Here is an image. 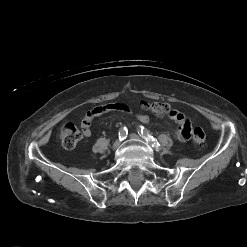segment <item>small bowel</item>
<instances>
[{
    "instance_id": "small-bowel-1",
    "label": "small bowel",
    "mask_w": 247,
    "mask_h": 247,
    "mask_svg": "<svg viewBox=\"0 0 247 247\" xmlns=\"http://www.w3.org/2000/svg\"><path fill=\"white\" fill-rule=\"evenodd\" d=\"M119 110L127 113L131 112V108L127 103H109L101 106H97L89 110L81 121L82 132L85 136H91V124L93 120L101 115H104L110 111ZM170 117L177 123L178 128L176 131L177 139L184 141L190 137V123L185 115L179 111H173ZM137 119L141 123H147L149 117L145 114H137Z\"/></svg>"
}]
</instances>
